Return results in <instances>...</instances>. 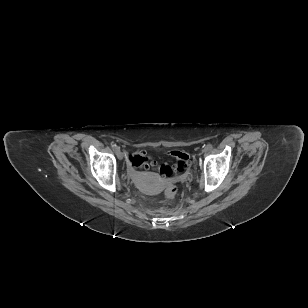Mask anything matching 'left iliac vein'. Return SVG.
<instances>
[{
    "instance_id": "left-iliac-vein-1",
    "label": "left iliac vein",
    "mask_w": 308,
    "mask_h": 308,
    "mask_svg": "<svg viewBox=\"0 0 308 308\" xmlns=\"http://www.w3.org/2000/svg\"><path fill=\"white\" fill-rule=\"evenodd\" d=\"M206 151H208L206 148H204V149L202 150V152H206Z\"/></svg>"
}]
</instances>
